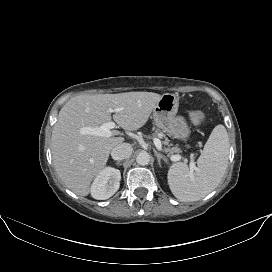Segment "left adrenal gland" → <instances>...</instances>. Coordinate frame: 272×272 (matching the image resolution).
<instances>
[{
    "label": "left adrenal gland",
    "mask_w": 272,
    "mask_h": 272,
    "mask_svg": "<svg viewBox=\"0 0 272 272\" xmlns=\"http://www.w3.org/2000/svg\"><path fill=\"white\" fill-rule=\"evenodd\" d=\"M154 153H155V156L157 157V161H158L159 166H161V159H163L165 162H167V158L164 155L160 154L156 150H154Z\"/></svg>",
    "instance_id": "a2214340"
}]
</instances>
